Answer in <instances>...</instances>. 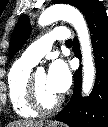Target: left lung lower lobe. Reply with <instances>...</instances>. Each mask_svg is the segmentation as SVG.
I'll return each instance as SVG.
<instances>
[{
    "label": "left lung lower lobe",
    "mask_w": 108,
    "mask_h": 127,
    "mask_svg": "<svg viewBox=\"0 0 108 127\" xmlns=\"http://www.w3.org/2000/svg\"><path fill=\"white\" fill-rule=\"evenodd\" d=\"M86 18L96 65V81L90 96H81L82 69L74 77L72 97L56 119L70 127H108V16L102 2L83 0L78 8ZM74 53L81 57L78 41Z\"/></svg>",
    "instance_id": "0a47b994"
}]
</instances>
